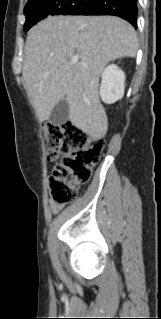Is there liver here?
Returning <instances> with one entry per match:
<instances>
[{
	"instance_id": "obj_1",
	"label": "liver",
	"mask_w": 161,
	"mask_h": 319,
	"mask_svg": "<svg viewBox=\"0 0 161 319\" xmlns=\"http://www.w3.org/2000/svg\"><path fill=\"white\" fill-rule=\"evenodd\" d=\"M136 32L115 16H55L35 25L25 45L23 80L36 114L48 120L54 106L66 99L69 119L82 132L101 139L108 119L98 86L103 68L135 57ZM78 57L72 64L69 59Z\"/></svg>"
}]
</instances>
